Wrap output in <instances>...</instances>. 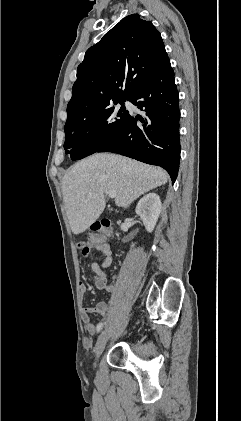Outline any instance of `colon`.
<instances>
[{"label":"colon","instance_id":"5ec220e1","mask_svg":"<svg viewBox=\"0 0 241 421\" xmlns=\"http://www.w3.org/2000/svg\"><path fill=\"white\" fill-rule=\"evenodd\" d=\"M93 234L90 236L89 241L79 242L78 248L84 256L90 255L92 248L102 244L105 239L111 234L110 222L101 221L92 226Z\"/></svg>","mask_w":241,"mask_h":421}]
</instances>
